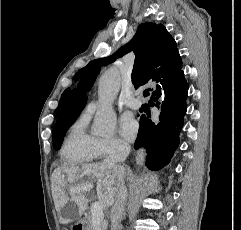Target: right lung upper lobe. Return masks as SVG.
<instances>
[{"instance_id": "1", "label": "right lung upper lobe", "mask_w": 241, "mask_h": 230, "mask_svg": "<svg viewBox=\"0 0 241 230\" xmlns=\"http://www.w3.org/2000/svg\"><path fill=\"white\" fill-rule=\"evenodd\" d=\"M131 50L136 55L131 75L132 83L136 89L145 84L156 86L166 76L182 66V60L173 37L162 24L157 25L149 22L139 26L134 38L128 44L121 47L112 56L89 62L87 66L76 73L74 79L78 80L88 71L114 62L116 58L122 57ZM69 93V88L63 92L55 112L57 117L60 115Z\"/></svg>"}]
</instances>
